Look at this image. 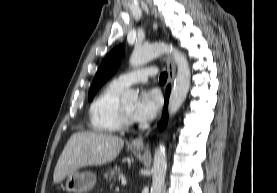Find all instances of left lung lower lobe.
I'll list each match as a JSON object with an SVG mask.
<instances>
[{"instance_id": "left-lung-lower-lobe-1", "label": "left lung lower lobe", "mask_w": 277, "mask_h": 193, "mask_svg": "<svg viewBox=\"0 0 277 193\" xmlns=\"http://www.w3.org/2000/svg\"><path fill=\"white\" fill-rule=\"evenodd\" d=\"M169 93H170V87L167 89L166 92V97H165V109H164V117L161 123V127L164 128L166 123H167V119H168V113H167V103H168V99H169Z\"/></svg>"}]
</instances>
